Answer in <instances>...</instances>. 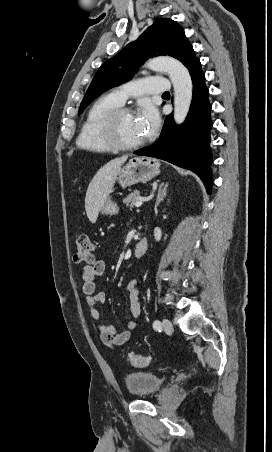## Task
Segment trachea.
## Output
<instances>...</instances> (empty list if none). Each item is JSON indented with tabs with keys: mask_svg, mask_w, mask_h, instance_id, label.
I'll use <instances>...</instances> for the list:
<instances>
[{
	"mask_svg": "<svg viewBox=\"0 0 272 452\" xmlns=\"http://www.w3.org/2000/svg\"><path fill=\"white\" fill-rule=\"evenodd\" d=\"M169 94H170L169 92H164V93H163V95H169Z\"/></svg>",
	"mask_w": 272,
	"mask_h": 452,
	"instance_id": "trachea-1",
	"label": "trachea"
}]
</instances>
